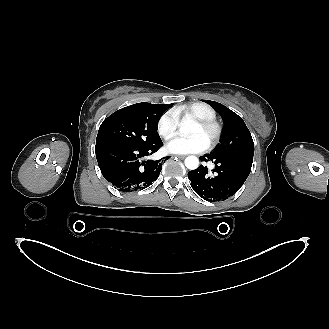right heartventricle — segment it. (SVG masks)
<instances>
[{"label": "right heart ventricle", "mask_w": 329, "mask_h": 329, "mask_svg": "<svg viewBox=\"0 0 329 329\" xmlns=\"http://www.w3.org/2000/svg\"><path fill=\"white\" fill-rule=\"evenodd\" d=\"M178 119H215L216 112L213 108L203 102H193L179 106L174 110Z\"/></svg>", "instance_id": "e07e8e85"}]
</instances>
